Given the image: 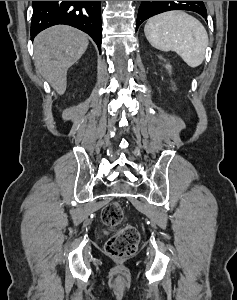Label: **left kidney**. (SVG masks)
Listing matches in <instances>:
<instances>
[{"label":"left kidney","instance_id":"left-kidney-1","mask_svg":"<svg viewBox=\"0 0 237 300\" xmlns=\"http://www.w3.org/2000/svg\"><path fill=\"white\" fill-rule=\"evenodd\" d=\"M162 59V57H160ZM166 69H171V65H166Z\"/></svg>","mask_w":237,"mask_h":300}]
</instances>
